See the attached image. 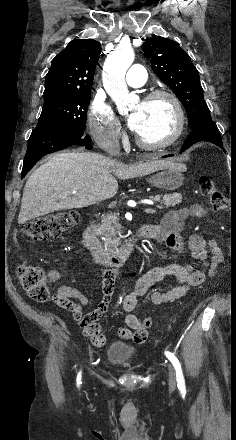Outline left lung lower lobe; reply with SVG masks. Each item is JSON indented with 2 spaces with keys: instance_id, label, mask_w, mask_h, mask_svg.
<instances>
[{
  "instance_id": "left-lung-lower-lobe-1",
  "label": "left lung lower lobe",
  "mask_w": 236,
  "mask_h": 440,
  "mask_svg": "<svg viewBox=\"0 0 236 440\" xmlns=\"http://www.w3.org/2000/svg\"><path fill=\"white\" fill-rule=\"evenodd\" d=\"M200 141L211 142L223 149L222 139L219 130L214 125L212 120L206 121L199 125L197 128L193 129L185 143L183 144L182 150L189 148L192 144ZM173 156L172 154L168 157ZM167 157V155L165 156Z\"/></svg>"
}]
</instances>
